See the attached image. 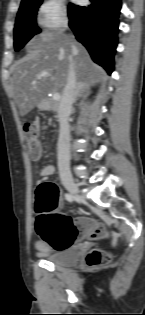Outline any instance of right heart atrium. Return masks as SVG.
I'll return each mask as SVG.
<instances>
[{
  "label": "right heart atrium",
  "mask_w": 145,
  "mask_h": 315,
  "mask_svg": "<svg viewBox=\"0 0 145 315\" xmlns=\"http://www.w3.org/2000/svg\"><path fill=\"white\" fill-rule=\"evenodd\" d=\"M36 23L46 31L61 32L68 18L61 0H42L36 11Z\"/></svg>",
  "instance_id": "obj_1"
}]
</instances>
